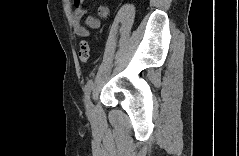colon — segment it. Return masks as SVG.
<instances>
[{"instance_id":"5ec220e1","label":"colon","mask_w":239,"mask_h":156,"mask_svg":"<svg viewBox=\"0 0 239 156\" xmlns=\"http://www.w3.org/2000/svg\"><path fill=\"white\" fill-rule=\"evenodd\" d=\"M78 55H79V59L83 63H87L89 61V58H90V47H89L88 41L83 40L81 42Z\"/></svg>"}]
</instances>
